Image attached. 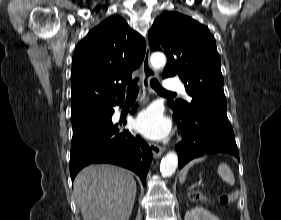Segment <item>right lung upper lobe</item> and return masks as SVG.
<instances>
[{
    "label": "right lung upper lobe",
    "mask_w": 281,
    "mask_h": 220,
    "mask_svg": "<svg viewBox=\"0 0 281 220\" xmlns=\"http://www.w3.org/2000/svg\"><path fill=\"white\" fill-rule=\"evenodd\" d=\"M145 40L112 16L81 40L72 59L71 119L97 113L124 98V87L142 63Z\"/></svg>",
    "instance_id": "right-lung-upper-lobe-1"
}]
</instances>
